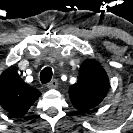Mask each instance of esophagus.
Returning <instances> with one entry per match:
<instances>
[{
  "mask_svg": "<svg viewBox=\"0 0 133 133\" xmlns=\"http://www.w3.org/2000/svg\"><path fill=\"white\" fill-rule=\"evenodd\" d=\"M58 80L57 79H53L51 80L48 84H47V88L49 89H55L58 87Z\"/></svg>",
  "mask_w": 133,
  "mask_h": 133,
  "instance_id": "1",
  "label": "esophagus"
}]
</instances>
